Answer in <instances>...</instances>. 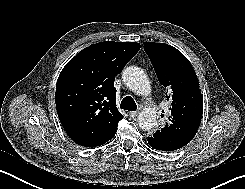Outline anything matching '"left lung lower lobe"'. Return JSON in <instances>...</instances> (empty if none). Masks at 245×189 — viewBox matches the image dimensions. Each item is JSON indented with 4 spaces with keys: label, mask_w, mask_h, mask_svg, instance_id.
I'll return each mask as SVG.
<instances>
[{
    "label": "left lung lower lobe",
    "mask_w": 245,
    "mask_h": 189,
    "mask_svg": "<svg viewBox=\"0 0 245 189\" xmlns=\"http://www.w3.org/2000/svg\"><path fill=\"white\" fill-rule=\"evenodd\" d=\"M148 143L149 145L157 150H162V151H170L167 148H165L163 145L159 144L155 139L152 137H148Z\"/></svg>",
    "instance_id": "obj_1"
}]
</instances>
